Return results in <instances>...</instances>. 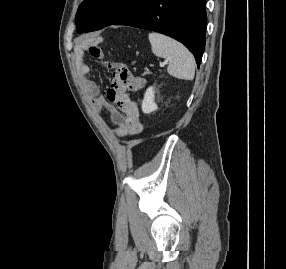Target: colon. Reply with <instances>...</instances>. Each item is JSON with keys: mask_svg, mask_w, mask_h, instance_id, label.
I'll list each match as a JSON object with an SVG mask.
<instances>
[{"mask_svg": "<svg viewBox=\"0 0 286 269\" xmlns=\"http://www.w3.org/2000/svg\"><path fill=\"white\" fill-rule=\"evenodd\" d=\"M95 48L99 45L93 44ZM135 76L126 67V61L121 63L116 62L113 70L112 84L117 88L119 93L129 95V100H126L125 110H142L141 100H134L135 91H142V83H146V78H134Z\"/></svg>", "mask_w": 286, "mask_h": 269, "instance_id": "obj_1", "label": "colon"}]
</instances>
